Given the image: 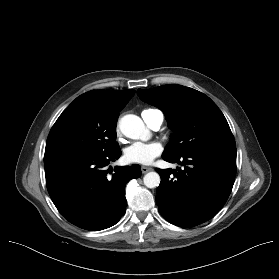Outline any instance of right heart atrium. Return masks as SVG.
Here are the masks:
<instances>
[{"label":"right heart atrium","mask_w":279,"mask_h":279,"mask_svg":"<svg viewBox=\"0 0 279 279\" xmlns=\"http://www.w3.org/2000/svg\"><path fill=\"white\" fill-rule=\"evenodd\" d=\"M116 131H117V134H119V133H120V130H119V128H117V130H116Z\"/></svg>","instance_id":"obj_1"}]
</instances>
